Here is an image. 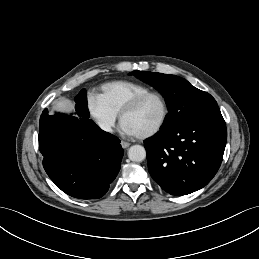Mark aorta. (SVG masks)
I'll return each instance as SVG.
<instances>
[{
	"label": "aorta",
	"mask_w": 259,
	"mask_h": 259,
	"mask_svg": "<svg viewBox=\"0 0 259 259\" xmlns=\"http://www.w3.org/2000/svg\"><path fill=\"white\" fill-rule=\"evenodd\" d=\"M128 157L131 161L142 162L146 158V150L141 145H133L128 150Z\"/></svg>",
	"instance_id": "obj_1"
}]
</instances>
